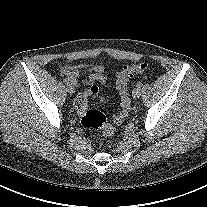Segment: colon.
Returning <instances> with one entry per match:
<instances>
[{"instance_id":"5ec220e1","label":"colon","mask_w":207,"mask_h":207,"mask_svg":"<svg viewBox=\"0 0 207 207\" xmlns=\"http://www.w3.org/2000/svg\"><path fill=\"white\" fill-rule=\"evenodd\" d=\"M148 68L146 63H137L125 66L118 74L116 87L120 96V111L114 115L113 120L116 124L123 123L131 108V98L128 88L130 78L144 73ZM89 96H99V88L96 85H91L85 91L79 93L74 100V107L78 112L81 124L90 129H98L104 137L113 134V127L107 123L105 115L98 111L89 109ZM102 102L105 101L103 96H99Z\"/></svg>"}]
</instances>
